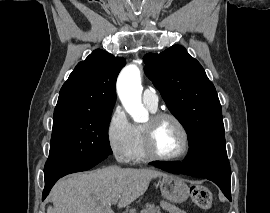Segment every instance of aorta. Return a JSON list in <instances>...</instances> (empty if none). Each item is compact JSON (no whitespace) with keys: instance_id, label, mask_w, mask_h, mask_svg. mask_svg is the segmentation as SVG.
I'll list each match as a JSON object with an SVG mask.
<instances>
[{"instance_id":"aorta-1","label":"aorta","mask_w":270,"mask_h":213,"mask_svg":"<svg viewBox=\"0 0 270 213\" xmlns=\"http://www.w3.org/2000/svg\"><path fill=\"white\" fill-rule=\"evenodd\" d=\"M117 93L123 107L134 121L143 122L148 118V112L141 100V75L137 65H127L121 71L117 80Z\"/></svg>"}]
</instances>
